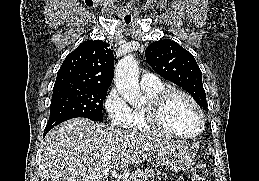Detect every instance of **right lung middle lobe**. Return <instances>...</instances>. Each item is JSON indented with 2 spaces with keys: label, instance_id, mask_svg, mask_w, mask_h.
Instances as JSON below:
<instances>
[{
  "label": "right lung middle lobe",
  "instance_id": "right-lung-middle-lobe-1",
  "mask_svg": "<svg viewBox=\"0 0 259 181\" xmlns=\"http://www.w3.org/2000/svg\"><path fill=\"white\" fill-rule=\"evenodd\" d=\"M108 89L58 87L53 88L50 117L45 130L76 117L102 121L103 101Z\"/></svg>",
  "mask_w": 259,
  "mask_h": 181
}]
</instances>
